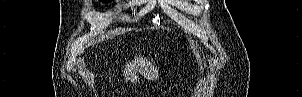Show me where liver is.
Masks as SVG:
<instances>
[{
    "instance_id": "obj_1",
    "label": "liver",
    "mask_w": 302,
    "mask_h": 97,
    "mask_svg": "<svg viewBox=\"0 0 302 97\" xmlns=\"http://www.w3.org/2000/svg\"><path fill=\"white\" fill-rule=\"evenodd\" d=\"M146 64L148 65L147 61H145L143 57L141 58L135 57V60H133L132 63L131 62L126 63L125 69L123 71L126 80H132L139 66L143 67L146 66ZM140 73L143 74V70H141V68H140ZM154 74H157L156 71H154Z\"/></svg>"
}]
</instances>
